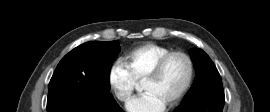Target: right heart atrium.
Returning a JSON list of instances; mask_svg holds the SVG:
<instances>
[{
    "mask_svg": "<svg viewBox=\"0 0 270 112\" xmlns=\"http://www.w3.org/2000/svg\"><path fill=\"white\" fill-rule=\"evenodd\" d=\"M107 82L114 97L127 102L138 87V82L122 61L111 64L107 73Z\"/></svg>",
    "mask_w": 270,
    "mask_h": 112,
    "instance_id": "right-heart-atrium-1",
    "label": "right heart atrium"
}]
</instances>
